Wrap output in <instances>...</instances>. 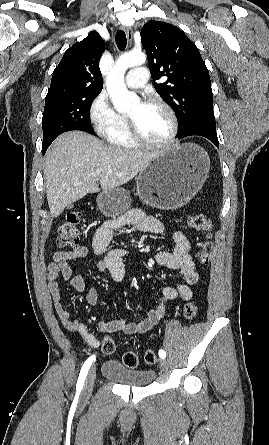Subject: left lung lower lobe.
Wrapping results in <instances>:
<instances>
[{"instance_id":"0a47b994","label":"left lung lower lobe","mask_w":269,"mask_h":445,"mask_svg":"<svg viewBox=\"0 0 269 445\" xmlns=\"http://www.w3.org/2000/svg\"><path fill=\"white\" fill-rule=\"evenodd\" d=\"M190 135L203 136V137L211 140V142H213L219 148L218 138H217V134H216V128H210V127L194 128V129L190 130L189 132H187L186 134H184L183 136H179V138H183V137L190 136Z\"/></svg>"}]
</instances>
